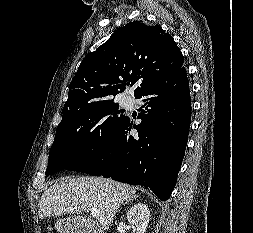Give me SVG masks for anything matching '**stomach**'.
<instances>
[{"instance_id": "stomach-1", "label": "stomach", "mask_w": 253, "mask_h": 233, "mask_svg": "<svg viewBox=\"0 0 253 233\" xmlns=\"http://www.w3.org/2000/svg\"><path fill=\"white\" fill-rule=\"evenodd\" d=\"M57 227L61 231H67V232H64V233H71L70 231H74V229H75L72 223L66 222L65 220L60 221L57 224ZM72 233H74V232H72Z\"/></svg>"}]
</instances>
